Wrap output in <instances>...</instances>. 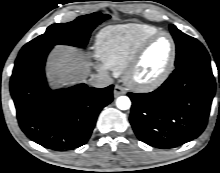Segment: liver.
I'll use <instances>...</instances> for the list:
<instances>
[{
    "instance_id": "6515ba94",
    "label": "liver",
    "mask_w": 220,
    "mask_h": 173,
    "mask_svg": "<svg viewBox=\"0 0 220 173\" xmlns=\"http://www.w3.org/2000/svg\"><path fill=\"white\" fill-rule=\"evenodd\" d=\"M90 63L74 47L57 45L47 60V77L55 86H70L86 81Z\"/></svg>"
}]
</instances>
